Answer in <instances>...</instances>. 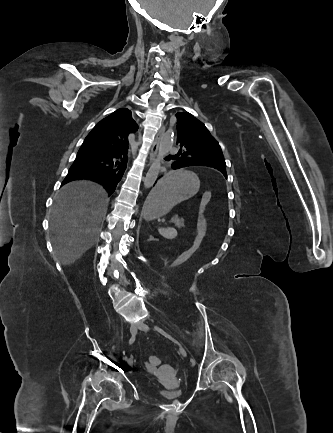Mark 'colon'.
Instances as JSON below:
<instances>
[{
    "mask_svg": "<svg viewBox=\"0 0 333 433\" xmlns=\"http://www.w3.org/2000/svg\"><path fill=\"white\" fill-rule=\"evenodd\" d=\"M210 198H211V193H209V192H206L201 198L200 215H199V220H198L199 231H198V234L196 236L195 243L192 244L187 250L182 252L181 256L178 257L177 261L176 260L173 261L172 265L168 266V269L173 271V270H175L176 266L177 267H183L184 263L188 262V259L193 258V254L196 252V249H199V244L203 240V237L205 235V229H206V219H205V216L203 214V211H204V207L209 202ZM158 362H161V358L156 356V355H151L148 358L147 366L149 368L157 369V363Z\"/></svg>",
    "mask_w": 333,
    "mask_h": 433,
    "instance_id": "5ec220e1",
    "label": "colon"
}]
</instances>
